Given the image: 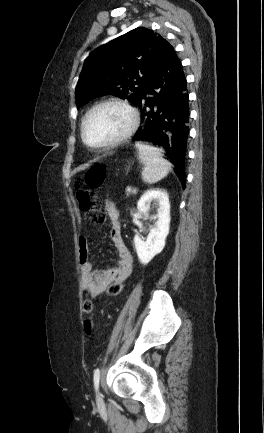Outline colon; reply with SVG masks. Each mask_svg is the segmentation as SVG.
Listing matches in <instances>:
<instances>
[{
	"label": "colon",
	"instance_id": "5ec220e1",
	"mask_svg": "<svg viewBox=\"0 0 264 433\" xmlns=\"http://www.w3.org/2000/svg\"><path fill=\"white\" fill-rule=\"evenodd\" d=\"M106 177V167L102 164L95 165L88 169L85 174V182L91 188L102 186ZM76 196L79 202L80 209L85 215L86 222L92 225L101 224L105 221L106 215L101 207V199L85 189H77ZM123 290L122 282H114L109 285L107 294L109 296H117ZM84 312L86 319L92 322V300L88 297L84 300Z\"/></svg>",
	"mask_w": 264,
	"mask_h": 433
}]
</instances>
